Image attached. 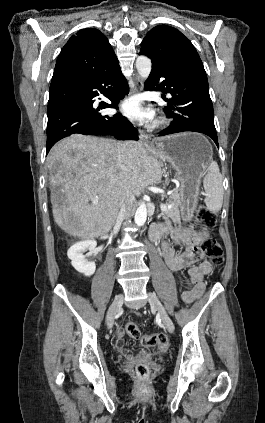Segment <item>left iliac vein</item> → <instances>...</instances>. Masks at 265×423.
<instances>
[{"mask_svg": "<svg viewBox=\"0 0 265 423\" xmlns=\"http://www.w3.org/2000/svg\"><path fill=\"white\" fill-rule=\"evenodd\" d=\"M148 301H149L151 307L153 309H155L158 312V314L160 315V318L162 319L166 329L170 333H173L174 332V324H173L172 320L170 319V317L168 316L165 308L163 307V305L160 302V300L158 299V297L154 293L149 292L148 293Z\"/></svg>", "mask_w": 265, "mask_h": 423, "instance_id": "obj_1", "label": "left iliac vein"}]
</instances>
